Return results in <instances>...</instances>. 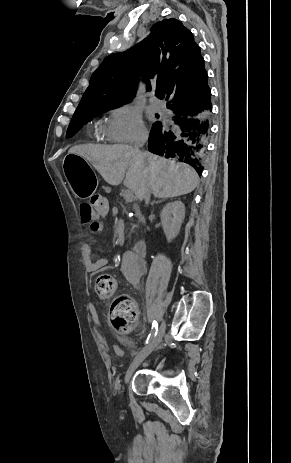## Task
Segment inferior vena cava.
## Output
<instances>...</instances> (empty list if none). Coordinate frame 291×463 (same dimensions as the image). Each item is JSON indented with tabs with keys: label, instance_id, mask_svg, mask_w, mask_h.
<instances>
[{
	"label": "inferior vena cava",
	"instance_id": "obj_1",
	"mask_svg": "<svg viewBox=\"0 0 291 463\" xmlns=\"http://www.w3.org/2000/svg\"><path fill=\"white\" fill-rule=\"evenodd\" d=\"M148 137L145 135L143 137H141L134 145V150L135 152H139V148L143 147V145L146 143ZM150 196H151V191H150V188L147 186L145 189H144V193H143V198L145 200V203L146 205H148L149 201H150Z\"/></svg>",
	"mask_w": 291,
	"mask_h": 463
}]
</instances>
